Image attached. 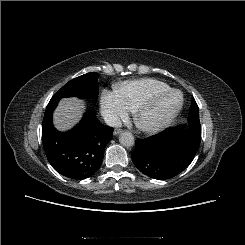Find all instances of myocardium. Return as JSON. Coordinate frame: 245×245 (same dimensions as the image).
<instances>
[{
	"mask_svg": "<svg viewBox=\"0 0 245 245\" xmlns=\"http://www.w3.org/2000/svg\"><path fill=\"white\" fill-rule=\"evenodd\" d=\"M174 93H178L180 95L181 100H180L178 106L171 113H169L168 115H166L165 117L159 119L158 121H156L154 123L143 122L142 115L146 110L151 108L158 101H160V100H162V99H164V98H166V97H168ZM183 104H184L183 94L181 91H179L177 89H169L167 91H163V92L153 94V95L145 98L141 102H139L137 105H135V107L133 108L134 122H135L136 126L143 132H146V133L160 132V131L164 130L166 127H168L175 120V118L178 116V114L182 110Z\"/></svg>",
	"mask_w": 245,
	"mask_h": 245,
	"instance_id": "myocardium-1",
	"label": "myocardium"
}]
</instances>
